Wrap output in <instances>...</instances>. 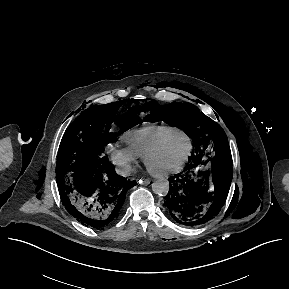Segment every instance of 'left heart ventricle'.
Segmentation results:
<instances>
[{
  "mask_svg": "<svg viewBox=\"0 0 289 289\" xmlns=\"http://www.w3.org/2000/svg\"><path fill=\"white\" fill-rule=\"evenodd\" d=\"M188 143L185 137L175 136L149 159V167L156 171L172 168L185 156Z\"/></svg>",
  "mask_w": 289,
  "mask_h": 289,
  "instance_id": "1",
  "label": "left heart ventricle"
}]
</instances>
